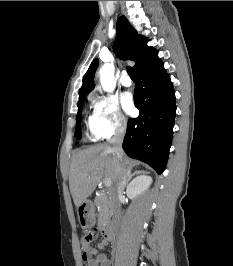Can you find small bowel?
<instances>
[{
	"instance_id": "small-bowel-1",
	"label": "small bowel",
	"mask_w": 233,
	"mask_h": 266,
	"mask_svg": "<svg viewBox=\"0 0 233 266\" xmlns=\"http://www.w3.org/2000/svg\"><path fill=\"white\" fill-rule=\"evenodd\" d=\"M108 241L103 239L97 244V248L90 247L89 243L82 242L83 260L87 266H110L108 257L103 253H98L99 249H104L108 246Z\"/></svg>"
}]
</instances>
